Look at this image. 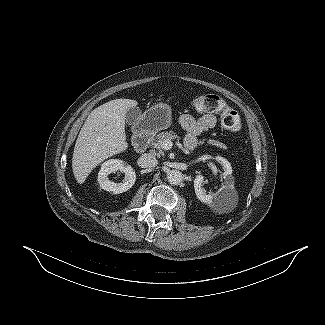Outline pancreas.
Here are the masks:
<instances>
[{
    "mask_svg": "<svg viewBox=\"0 0 325 325\" xmlns=\"http://www.w3.org/2000/svg\"><path fill=\"white\" fill-rule=\"evenodd\" d=\"M176 138L177 135L173 131L161 132L153 139L154 141L152 142V145L154 148H156L159 151L160 154H163L162 147H161L162 142H164L165 140H174ZM200 143L203 144L204 142L202 141ZM208 144L226 149V146L223 143L216 140L209 139Z\"/></svg>",
    "mask_w": 325,
    "mask_h": 325,
    "instance_id": "cf45deb5",
    "label": "pancreas"
}]
</instances>
